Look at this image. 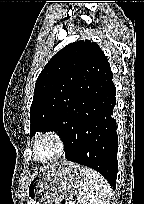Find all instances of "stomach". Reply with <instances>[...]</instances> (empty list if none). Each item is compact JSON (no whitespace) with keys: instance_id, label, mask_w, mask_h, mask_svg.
<instances>
[{"instance_id":"0dacf381","label":"stomach","mask_w":144,"mask_h":204,"mask_svg":"<svg viewBox=\"0 0 144 204\" xmlns=\"http://www.w3.org/2000/svg\"><path fill=\"white\" fill-rule=\"evenodd\" d=\"M83 168L73 163H56L34 175L27 186L28 204H60L81 189Z\"/></svg>"}]
</instances>
